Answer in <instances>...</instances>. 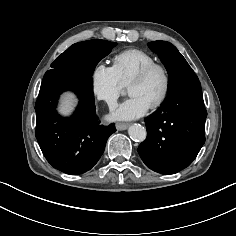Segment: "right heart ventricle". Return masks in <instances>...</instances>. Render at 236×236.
Instances as JSON below:
<instances>
[{
    "mask_svg": "<svg viewBox=\"0 0 236 236\" xmlns=\"http://www.w3.org/2000/svg\"><path fill=\"white\" fill-rule=\"evenodd\" d=\"M155 58L141 49H127L113 58V67L124 86H128L133 77L145 66L154 63Z\"/></svg>",
    "mask_w": 236,
    "mask_h": 236,
    "instance_id": "e07e8e85",
    "label": "right heart ventricle"
}]
</instances>
